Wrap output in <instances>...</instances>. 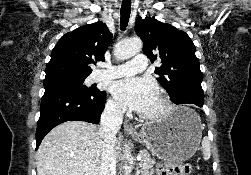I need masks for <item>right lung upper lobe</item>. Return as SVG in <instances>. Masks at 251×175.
<instances>
[{
    "mask_svg": "<svg viewBox=\"0 0 251 175\" xmlns=\"http://www.w3.org/2000/svg\"><path fill=\"white\" fill-rule=\"evenodd\" d=\"M112 35L106 24L98 21L64 34L51 53L46 66V77H87L91 64L104 61L103 54Z\"/></svg>",
    "mask_w": 251,
    "mask_h": 175,
    "instance_id": "1",
    "label": "right lung upper lobe"
}]
</instances>
